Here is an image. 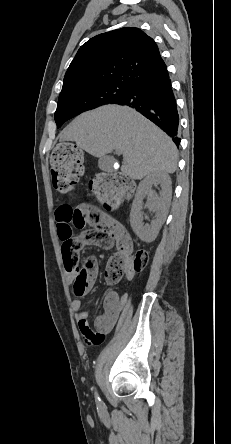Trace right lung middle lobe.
Wrapping results in <instances>:
<instances>
[{
    "instance_id": "right-lung-middle-lobe-1",
    "label": "right lung middle lobe",
    "mask_w": 231,
    "mask_h": 444,
    "mask_svg": "<svg viewBox=\"0 0 231 444\" xmlns=\"http://www.w3.org/2000/svg\"><path fill=\"white\" fill-rule=\"evenodd\" d=\"M130 89V85L109 83L61 92L54 115L57 128L61 127L65 121L84 111L104 104L115 103L124 98Z\"/></svg>"
}]
</instances>
